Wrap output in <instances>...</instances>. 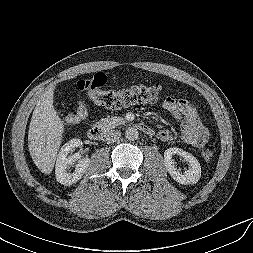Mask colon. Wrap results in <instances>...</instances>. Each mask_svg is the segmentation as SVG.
Listing matches in <instances>:
<instances>
[{
    "mask_svg": "<svg viewBox=\"0 0 253 253\" xmlns=\"http://www.w3.org/2000/svg\"><path fill=\"white\" fill-rule=\"evenodd\" d=\"M107 77L103 73H97L92 78L78 82V89L87 92L90 99L99 105L106 107H122L130 104L142 102H155L158 100L161 88L159 85L135 86L123 91L104 90L103 87ZM87 114V106L80 101L76 111L66 116V122L75 124L84 119ZM203 158L208 161L213 157V152L207 149L202 154Z\"/></svg>",
    "mask_w": 253,
    "mask_h": 253,
    "instance_id": "obj_1",
    "label": "colon"
}]
</instances>
